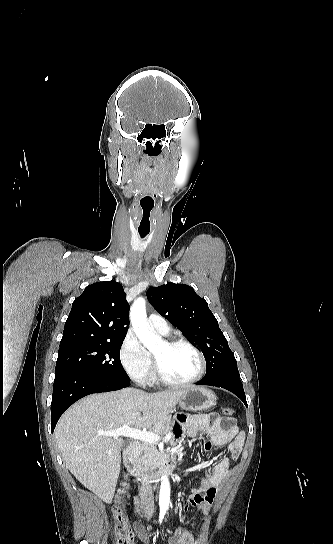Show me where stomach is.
I'll return each instance as SVG.
<instances>
[{
  "instance_id": "0dacf381",
  "label": "stomach",
  "mask_w": 333,
  "mask_h": 544,
  "mask_svg": "<svg viewBox=\"0 0 333 544\" xmlns=\"http://www.w3.org/2000/svg\"><path fill=\"white\" fill-rule=\"evenodd\" d=\"M179 406L188 411L209 410L216 404L214 392L203 387H195L182 395L178 401Z\"/></svg>"
}]
</instances>
